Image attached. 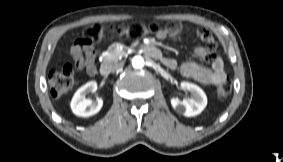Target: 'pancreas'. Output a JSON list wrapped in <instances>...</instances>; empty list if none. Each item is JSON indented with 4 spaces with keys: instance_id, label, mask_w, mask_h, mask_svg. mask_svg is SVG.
<instances>
[{
    "instance_id": "pancreas-1",
    "label": "pancreas",
    "mask_w": 283,
    "mask_h": 162,
    "mask_svg": "<svg viewBox=\"0 0 283 162\" xmlns=\"http://www.w3.org/2000/svg\"><path fill=\"white\" fill-rule=\"evenodd\" d=\"M107 55L104 56V62L107 61H117L119 58L125 55L124 50H117L115 47H110L107 50Z\"/></svg>"
}]
</instances>
